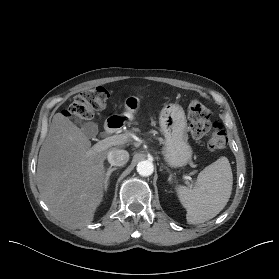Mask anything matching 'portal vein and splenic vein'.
Wrapping results in <instances>:
<instances>
[{
	"label": "portal vein and splenic vein",
	"instance_id": "18ae733b",
	"mask_svg": "<svg viewBox=\"0 0 279 279\" xmlns=\"http://www.w3.org/2000/svg\"><path fill=\"white\" fill-rule=\"evenodd\" d=\"M128 134H119V135H114V136H110L107 137L101 141H99L98 143H96L92 149L91 152H98L101 150H104L106 148H109L113 145H119V144H124L128 141Z\"/></svg>",
	"mask_w": 279,
	"mask_h": 279
}]
</instances>
